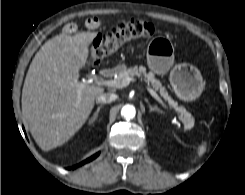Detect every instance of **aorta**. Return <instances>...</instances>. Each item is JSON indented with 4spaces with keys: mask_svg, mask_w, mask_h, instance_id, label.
<instances>
[{
    "mask_svg": "<svg viewBox=\"0 0 245 195\" xmlns=\"http://www.w3.org/2000/svg\"><path fill=\"white\" fill-rule=\"evenodd\" d=\"M121 115H122V117H124L126 119L134 118L136 115L135 107L133 105H129V104L123 106L121 109Z\"/></svg>",
    "mask_w": 245,
    "mask_h": 195,
    "instance_id": "aorta-1",
    "label": "aorta"
}]
</instances>
